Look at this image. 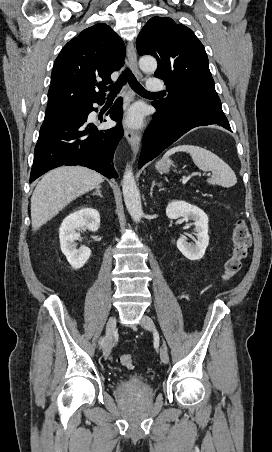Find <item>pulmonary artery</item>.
Wrapping results in <instances>:
<instances>
[{
    "instance_id": "1",
    "label": "pulmonary artery",
    "mask_w": 272,
    "mask_h": 452,
    "mask_svg": "<svg viewBox=\"0 0 272 452\" xmlns=\"http://www.w3.org/2000/svg\"><path fill=\"white\" fill-rule=\"evenodd\" d=\"M164 87V83L158 78H151L148 81V91L150 92H161Z\"/></svg>"
}]
</instances>
